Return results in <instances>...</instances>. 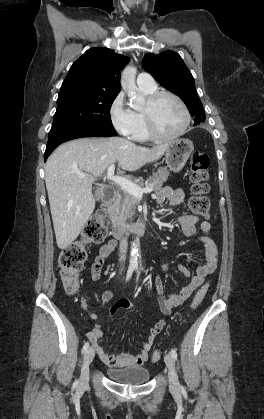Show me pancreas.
I'll return each instance as SVG.
<instances>
[{"label": "pancreas", "instance_id": "1", "mask_svg": "<svg viewBox=\"0 0 264 419\" xmlns=\"http://www.w3.org/2000/svg\"><path fill=\"white\" fill-rule=\"evenodd\" d=\"M169 174L170 172L167 168L161 167L156 173H153V176H150L147 179V182L154 190H158L163 186V183L166 182ZM138 186L143 187L144 182L140 181ZM139 203V198L123 190L120 198H118L114 204V213L117 220L125 221L127 219H132L136 214V207Z\"/></svg>", "mask_w": 264, "mask_h": 419}]
</instances>
